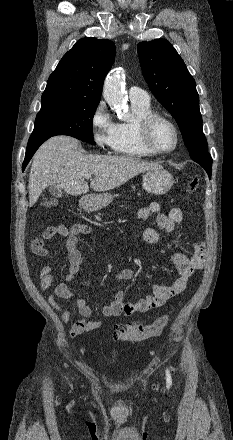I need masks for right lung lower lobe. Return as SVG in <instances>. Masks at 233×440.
<instances>
[{
    "label": "right lung lower lobe",
    "mask_w": 233,
    "mask_h": 440,
    "mask_svg": "<svg viewBox=\"0 0 233 440\" xmlns=\"http://www.w3.org/2000/svg\"><path fill=\"white\" fill-rule=\"evenodd\" d=\"M48 138L49 137H40V138L30 137L26 150L25 160L23 162V167H22L23 170L25 169L26 165L28 164V162L30 161L36 150L39 148V146Z\"/></svg>",
    "instance_id": "98d812e1"
}]
</instances>
